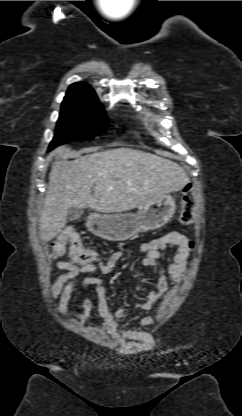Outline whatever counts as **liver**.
Instances as JSON below:
<instances>
[{
  "instance_id": "6515ba94",
  "label": "liver",
  "mask_w": 242,
  "mask_h": 416,
  "mask_svg": "<svg viewBox=\"0 0 242 416\" xmlns=\"http://www.w3.org/2000/svg\"><path fill=\"white\" fill-rule=\"evenodd\" d=\"M188 182L177 163L130 148L93 152L73 161L57 160L49 173L39 219L40 238L48 242L62 231L70 207H90L103 213L141 210Z\"/></svg>"
}]
</instances>
